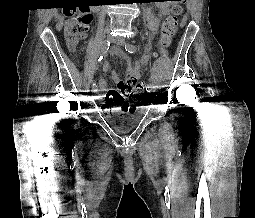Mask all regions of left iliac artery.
<instances>
[{"label":"left iliac artery","instance_id":"1","mask_svg":"<svg viewBox=\"0 0 255 218\" xmlns=\"http://www.w3.org/2000/svg\"><path fill=\"white\" fill-rule=\"evenodd\" d=\"M125 50L130 52V53H134L136 51V47L132 44H126L125 45ZM153 86L151 83H149L147 86H146V90L148 92H150L152 90Z\"/></svg>","mask_w":255,"mask_h":218}]
</instances>
